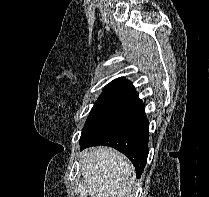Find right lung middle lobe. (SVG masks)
Segmentation results:
<instances>
[{"label": "right lung middle lobe", "instance_id": "dd1d6c3e", "mask_svg": "<svg viewBox=\"0 0 209 197\" xmlns=\"http://www.w3.org/2000/svg\"><path fill=\"white\" fill-rule=\"evenodd\" d=\"M138 96L135 90L118 85L108 84L94 104L84 127L105 117L111 111L129 103Z\"/></svg>", "mask_w": 209, "mask_h": 197}]
</instances>
